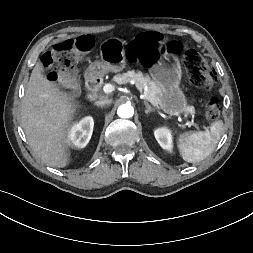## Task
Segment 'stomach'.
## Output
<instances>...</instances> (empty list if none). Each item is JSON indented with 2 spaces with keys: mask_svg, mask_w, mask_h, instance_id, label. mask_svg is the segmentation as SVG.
Returning <instances> with one entry per match:
<instances>
[{
  "mask_svg": "<svg viewBox=\"0 0 253 253\" xmlns=\"http://www.w3.org/2000/svg\"><path fill=\"white\" fill-rule=\"evenodd\" d=\"M101 60L88 69L90 77L118 73L126 67L125 41L119 38L104 40L99 47ZM151 77L162 87V108L170 115L182 114L187 110V98L179 88L182 76L180 64L175 60H162L150 69Z\"/></svg>",
  "mask_w": 253,
  "mask_h": 253,
  "instance_id": "1",
  "label": "stomach"
}]
</instances>
